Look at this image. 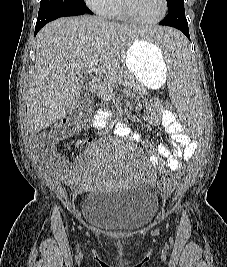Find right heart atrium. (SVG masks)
<instances>
[{
	"label": "right heart atrium",
	"mask_w": 227,
	"mask_h": 267,
	"mask_svg": "<svg viewBox=\"0 0 227 267\" xmlns=\"http://www.w3.org/2000/svg\"><path fill=\"white\" fill-rule=\"evenodd\" d=\"M85 4L99 15L105 16L114 0H84Z\"/></svg>",
	"instance_id": "obj_1"
}]
</instances>
